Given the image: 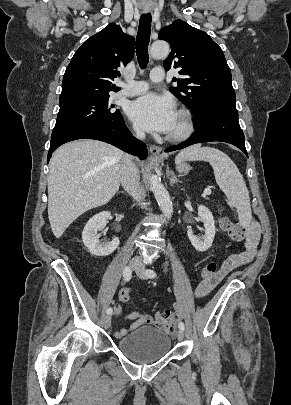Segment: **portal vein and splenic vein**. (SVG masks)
<instances>
[{"mask_svg": "<svg viewBox=\"0 0 291 405\" xmlns=\"http://www.w3.org/2000/svg\"><path fill=\"white\" fill-rule=\"evenodd\" d=\"M210 194H211V190L209 188H205L204 195H210Z\"/></svg>", "mask_w": 291, "mask_h": 405, "instance_id": "18ae733b", "label": "portal vein and splenic vein"}]
</instances>
